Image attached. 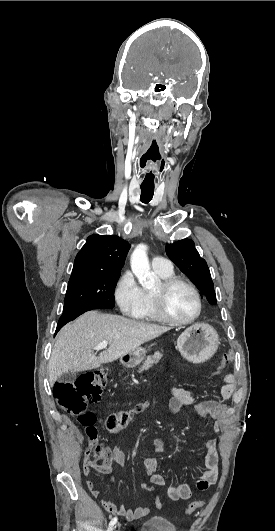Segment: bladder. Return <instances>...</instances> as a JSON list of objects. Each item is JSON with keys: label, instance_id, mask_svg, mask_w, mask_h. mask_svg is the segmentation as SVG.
<instances>
[{"label": "bladder", "instance_id": "31cf9c89", "mask_svg": "<svg viewBox=\"0 0 275 531\" xmlns=\"http://www.w3.org/2000/svg\"><path fill=\"white\" fill-rule=\"evenodd\" d=\"M138 531H176L175 524L161 514H154L143 520Z\"/></svg>", "mask_w": 275, "mask_h": 531}]
</instances>
